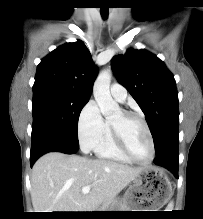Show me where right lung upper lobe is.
<instances>
[{
  "label": "right lung upper lobe",
  "mask_w": 203,
  "mask_h": 219,
  "mask_svg": "<svg viewBox=\"0 0 203 219\" xmlns=\"http://www.w3.org/2000/svg\"><path fill=\"white\" fill-rule=\"evenodd\" d=\"M96 76L90 52L78 40L58 47L41 60L33 87H56L90 98Z\"/></svg>",
  "instance_id": "1"
}]
</instances>
